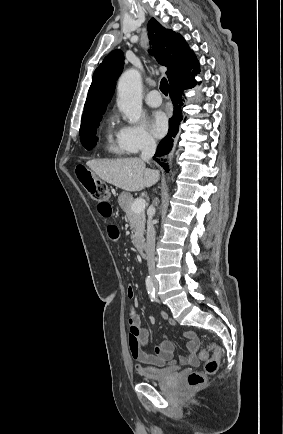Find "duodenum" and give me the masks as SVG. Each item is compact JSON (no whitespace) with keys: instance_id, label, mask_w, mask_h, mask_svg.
Returning <instances> with one entry per match:
<instances>
[{"instance_id":"duodenum-1","label":"duodenum","mask_w":283,"mask_h":434,"mask_svg":"<svg viewBox=\"0 0 283 434\" xmlns=\"http://www.w3.org/2000/svg\"><path fill=\"white\" fill-rule=\"evenodd\" d=\"M137 249H138L139 254L143 258H145L147 256V245H146V243L144 241H139L137 243Z\"/></svg>"}]
</instances>
